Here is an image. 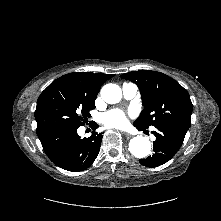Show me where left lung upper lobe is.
Returning <instances> with one entry per match:
<instances>
[{
    "mask_svg": "<svg viewBox=\"0 0 221 221\" xmlns=\"http://www.w3.org/2000/svg\"><path fill=\"white\" fill-rule=\"evenodd\" d=\"M120 77L137 84L141 92L144 109L134 125L144 129L162 125L189 129L193 106L188 92L177 81L151 70L132 71Z\"/></svg>",
    "mask_w": 221,
    "mask_h": 221,
    "instance_id": "left-lung-upper-lobe-1",
    "label": "left lung upper lobe"
}]
</instances>
